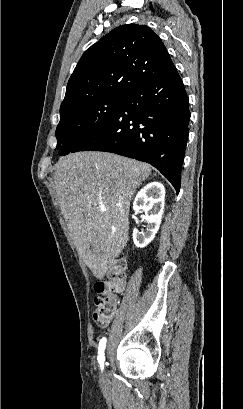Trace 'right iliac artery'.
Segmentation results:
<instances>
[{
    "instance_id": "right-iliac-artery-1",
    "label": "right iliac artery",
    "mask_w": 243,
    "mask_h": 409,
    "mask_svg": "<svg viewBox=\"0 0 243 409\" xmlns=\"http://www.w3.org/2000/svg\"><path fill=\"white\" fill-rule=\"evenodd\" d=\"M106 347V338H102L99 342V349H98V362L100 364L101 369L104 367V361H105V356H104V350Z\"/></svg>"
}]
</instances>
